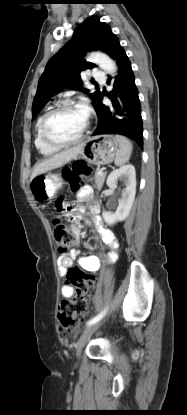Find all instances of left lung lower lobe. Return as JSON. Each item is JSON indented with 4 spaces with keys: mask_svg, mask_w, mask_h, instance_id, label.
Returning <instances> with one entry per match:
<instances>
[{
    "mask_svg": "<svg viewBox=\"0 0 187 415\" xmlns=\"http://www.w3.org/2000/svg\"><path fill=\"white\" fill-rule=\"evenodd\" d=\"M108 54L117 62L119 78L115 80L113 90L106 94L112 101V107L104 106L102 95L94 106L99 121L93 135H124L143 148L141 107L135 77L130 61L117 38Z\"/></svg>",
    "mask_w": 187,
    "mask_h": 415,
    "instance_id": "obj_1",
    "label": "left lung lower lobe"
}]
</instances>
